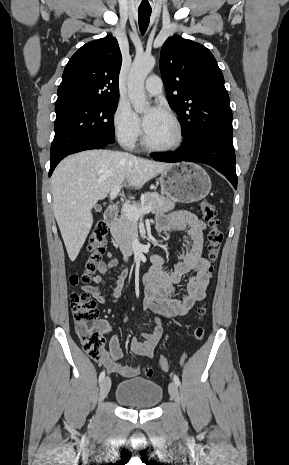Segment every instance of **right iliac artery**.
I'll return each mask as SVG.
<instances>
[{"label":"right iliac artery","instance_id":"right-iliac-artery-1","mask_svg":"<svg viewBox=\"0 0 289 465\" xmlns=\"http://www.w3.org/2000/svg\"><path fill=\"white\" fill-rule=\"evenodd\" d=\"M104 377H105V371H102L99 375V383L103 381Z\"/></svg>","mask_w":289,"mask_h":465}]
</instances>
